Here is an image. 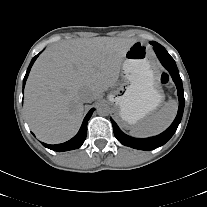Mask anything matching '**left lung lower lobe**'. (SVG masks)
I'll list each match as a JSON object with an SVG mask.
<instances>
[{"label": "left lung lower lobe", "instance_id": "left-lung-lower-lobe-1", "mask_svg": "<svg viewBox=\"0 0 207 207\" xmlns=\"http://www.w3.org/2000/svg\"><path fill=\"white\" fill-rule=\"evenodd\" d=\"M150 43L154 46V51L157 54V57L159 58L162 65L171 74L172 79L175 82L177 90H178L179 109H178V113H177L175 120L173 121L171 126L166 131L161 133L160 135L150 137V138H145V139H138V138H132V137L125 135L119 129L117 124L111 119L113 130H114V135L117 138V140L121 142V144L135 148V149L147 150V151L156 149L164 145L173 136V134L177 130L179 123L181 122L183 111H184L183 86H182V80L180 78L176 63L163 46L153 41Z\"/></svg>", "mask_w": 207, "mask_h": 207}]
</instances>
